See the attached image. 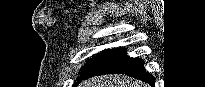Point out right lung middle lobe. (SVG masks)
Segmentation results:
<instances>
[{"label":"right lung middle lobe","instance_id":"1","mask_svg":"<svg viewBox=\"0 0 205 87\" xmlns=\"http://www.w3.org/2000/svg\"><path fill=\"white\" fill-rule=\"evenodd\" d=\"M115 49H107L96 56H93L88 62L82 67L80 77L78 78L77 82L74 84V86H77L78 83H80L84 77V75L94 66L96 65L101 59L106 57L108 54H110Z\"/></svg>","mask_w":205,"mask_h":87}]
</instances>
